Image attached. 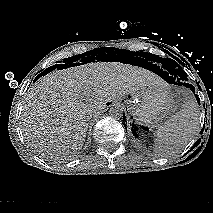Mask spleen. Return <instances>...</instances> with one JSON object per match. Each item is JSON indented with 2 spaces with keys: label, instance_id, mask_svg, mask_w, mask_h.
<instances>
[{
  "label": "spleen",
  "instance_id": "obj_1",
  "mask_svg": "<svg viewBox=\"0 0 213 213\" xmlns=\"http://www.w3.org/2000/svg\"><path fill=\"white\" fill-rule=\"evenodd\" d=\"M198 105L189 99L183 108L167 119L156 132L155 149L167 154L183 149L198 128Z\"/></svg>",
  "mask_w": 213,
  "mask_h": 213
}]
</instances>
